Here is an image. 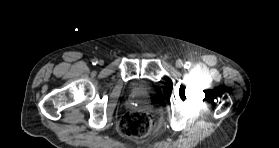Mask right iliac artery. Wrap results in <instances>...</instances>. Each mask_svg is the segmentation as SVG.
Wrapping results in <instances>:
<instances>
[{
  "label": "right iliac artery",
  "instance_id": "obj_1",
  "mask_svg": "<svg viewBox=\"0 0 279 148\" xmlns=\"http://www.w3.org/2000/svg\"><path fill=\"white\" fill-rule=\"evenodd\" d=\"M97 63H98L97 59H93V60H92V64H93V65H96Z\"/></svg>",
  "mask_w": 279,
  "mask_h": 148
}]
</instances>
